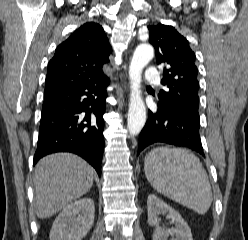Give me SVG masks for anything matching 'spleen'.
<instances>
[{"label": "spleen", "mask_w": 248, "mask_h": 240, "mask_svg": "<svg viewBox=\"0 0 248 240\" xmlns=\"http://www.w3.org/2000/svg\"><path fill=\"white\" fill-rule=\"evenodd\" d=\"M147 180L160 194L204 215L212 190L199 158L187 149L157 147L145 157Z\"/></svg>", "instance_id": "3e777b00"}]
</instances>
